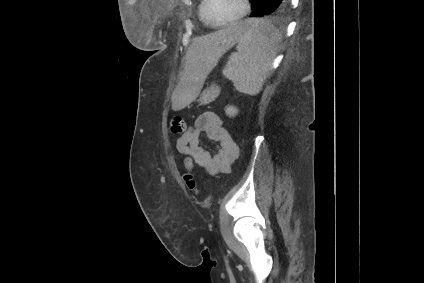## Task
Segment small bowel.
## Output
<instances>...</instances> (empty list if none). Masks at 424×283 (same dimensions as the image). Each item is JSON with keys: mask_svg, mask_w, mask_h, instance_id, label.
Returning <instances> with one entry per match:
<instances>
[{"mask_svg": "<svg viewBox=\"0 0 424 283\" xmlns=\"http://www.w3.org/2000/svg\"><path fill=\"white\" fill-rule=\"evenodd\" d=\"M202 135L219 144L215 153L211 154L202 145ZM176 149L193 165L203 167L209 175L228 173L230 166L239 156L237 144L214 111H206L199 115L193 126L188 127L176 140Z\"/></svg>", "mask_w": 424, "mask_h": 283, "instance_id": "small-bowel-1", "label": "small bowel"}]
</instances>
